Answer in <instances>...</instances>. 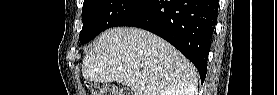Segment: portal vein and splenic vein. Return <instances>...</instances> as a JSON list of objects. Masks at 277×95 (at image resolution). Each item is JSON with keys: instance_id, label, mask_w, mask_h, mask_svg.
<instances>
[{"instance_id": "obj_1", "label": "portal vein and splenic vein", "mask_w": 277, "mask_h": 95, "mask_svg": "<svg viewBox=\"0 0 277 95\" xmlns=\"http://www.w3.org/2000/svg\"><path fill=\"white\" fill-rule=\"evenodd\" d=\"M137 75H138V76H141V74H140V73H137Z\"/></svg>"}]
</instances>
